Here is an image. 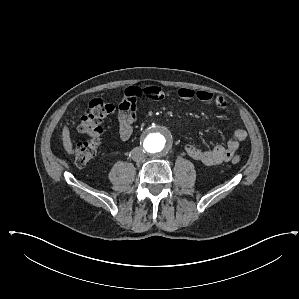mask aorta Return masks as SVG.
I'll return each mask as SVG.
<instances>
[{"mask_svg": "<svg viewBox=\"0 0 299 299\" xmlns=\"http://www.w3.org/2000/svg\"><path fill=\"white\" fill-rule=\"evenodd\" d=\"M146 152L150 155H159L168 147V139L161 131L149 133L143 141Z\"/></svg>", "mask_w": 299, "mask_h": 299, "instance_id": "1", "label": "aorta"}]
</instances>
